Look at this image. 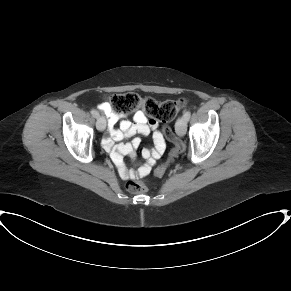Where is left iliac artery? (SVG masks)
I'll use <instances>...</instances> for the list:
<instances>
[{
  "instance_id": "obj_1",
  "label": "left iliac artery",
  "mask_w": 291,
  "mask_h": 291,
  "mask_svg": "<svg viewBox=\"0 0 291 291\" xmlns=\"http://www.w3.org/2000/svg\"><path fill=\"white\" fill-rule=\"evenodd\" d=\"M190 116H191V112H190L189 110H186V111L184 112V118L188 121L189 118H190Z\"/></svg>"
}]
</instances>
